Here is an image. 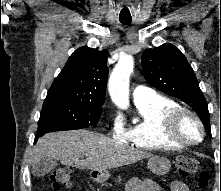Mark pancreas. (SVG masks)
Listing matches in <instances>:
<instances>
[{"label": "pancreas", "mask_w": 221, "mask_h": 191, "mask_svg": "<svg viewBox=\"0 0 221 191\" xmlns=\"http://www.w3.org/2000/svg\"><path fill=\"white\" fill-rule=\"evenodd\" d=\"M116 182L120 183L121 182V177L119 176Z\"/></svg>", "instance_id": "1"}]
</instances>
